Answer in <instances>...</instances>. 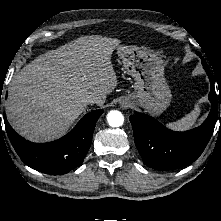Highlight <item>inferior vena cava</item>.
Here are the masks:
<instances>
[{"label":"inferior vena cava","mask_w":221,"mask_h":221,"mask_svg":"<svg viewBox=\"0 0 221 221\" xmlns=\"http://www.w3.org/2000/svg\"><path fill=\"white\" fill-rule=\"evenodd\" d=\"M85 102H86V104H94V103H96V99L95 98H87L86 100H85Z\"/></svg>","instance_id":"602c4592"}]
</instances>
